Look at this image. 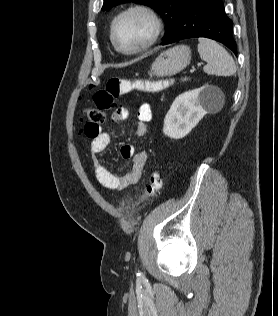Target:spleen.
Masks as SVG:
<instances>
[{
    "label": "spleen",
    "mask_w": 278,
    "mask_h": 316,
    "mask_svg": "<svg viewBox=\"0 0 278 316\" xmlns=\"http://www.w3.org/2000/svg\"><path fill=\"white\" fill-rule=\"evenodd\" d=\"M198 52L200 58L207 62L204 71L207 74L231 76L236 72L232 56L216 41L199 38Z\"/></svg>",
    "instance_id": "1"
}]
</instances>
